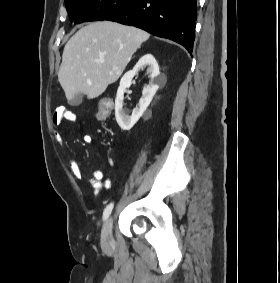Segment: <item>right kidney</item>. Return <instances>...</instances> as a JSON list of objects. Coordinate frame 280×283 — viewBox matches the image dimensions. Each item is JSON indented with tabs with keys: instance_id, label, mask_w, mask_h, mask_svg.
Returning a JSON list of instances; mask_svg holds the SVG:
<instances>
[{
	"instance_id": "right-kidney-1",
	"label": "right kidney",
	"mask_w": 280,
	"mask_h": 283,
	"mask_svg": "<svg viewBox=\"0 0 280 283\" xmlns=\"http://www.w3.org/2000/svg\"><path fill=\"white\" fill-rule=\"evenodd\" d=\"M144 66L148 67L147 74H149L150 78L149 85L143 89V96L139 101L138 107H136L132 115L129 116L128 111L123 109L124 93L125 90L130 87L133 77ZM164 81L165 78L160 76L158 63L151 54L142 56L134 68L123 75L115 99V117L122 130L128 131L136 124L151 103L155 93L159 89V84Z\"/></svg>"
}]
</instances>
